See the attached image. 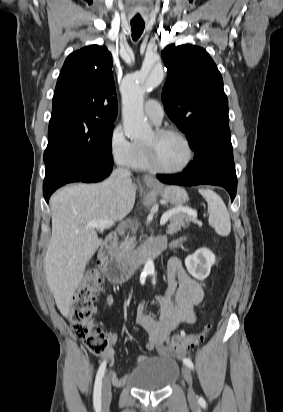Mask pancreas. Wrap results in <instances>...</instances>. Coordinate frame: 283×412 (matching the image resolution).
Segmentation results:
<instances>
[{"instance_id": "pancreas-1", "label": "pancreas", "mask_w": 283, "mask_h": 412, "mask_svg": "<svg viewBox=\"0 0 283 412\" xmlns=\"http://www.w3.org/2000/svg\"><path fill=\"white\" fill-rule=\"evenodd\" d=\"M190 222L198 223L196 217H193L187 213L179 212L170 217V224L168 225V234H175L181 230V227L186 228ZM136 237L126 238L117 249V255L122 260H127L130 258L134 248H135Z\"/></svg>"}]
</instances>
